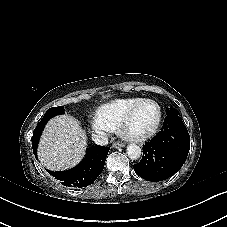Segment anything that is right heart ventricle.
Masks as SVG:
<instances>
[{
    "label": "right heart ventricle",
    "instance_id": "right-heart-ventricle-1",
    "mask_svg": "<svg viewBox=\"0 0 227 227\" xmlns=\"http://www.w3.org/2000/svg\"><path fill=\"white\" fill-rule=\"evenodd\" d=\"M140 98L115 99L99 107L93 117L97 126H105L113 130L128 112V110L139 102Z\"/></svg>",
    "mask_w": 227,
    "mask_h": 227
}]
</instances>
